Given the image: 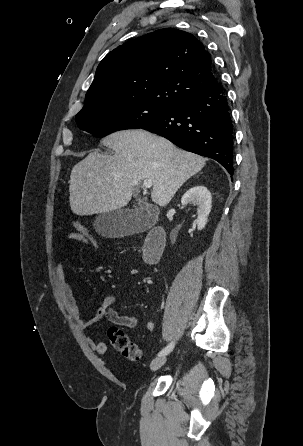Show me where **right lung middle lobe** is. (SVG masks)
Masks as SVG:
<instances>
[{"label": "right lung middle lobe", "mask_w": 303, "mask_h": 446, "mask_svg": "<svg viewBox=\"0 0 303 446\" xmlns=\"http://www.w3.org/2000/svg\"><path fill=\"white\" fill-rule=\"evenodd\" d=\"M171 108L143 101L123 102L81 111L75 120L80 129L104 137L118 130L142 128Z\"/></svg>", "instance_id": "right-lung-middle-lobe-1"}]
</instances>
